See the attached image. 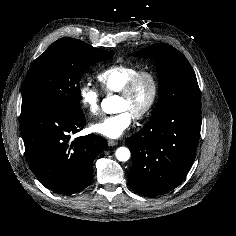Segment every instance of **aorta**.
<instances>
[{
  "label": "aorta",
  "mask_w": 236,
  "mask_h": 236,
  "mask_svg": "<svg viewBox=\"0 0 236 236\" xmlns=\"http://www.w3.org/2000/svg\"><path fill=\"white\" fill-rule=\"evenodd\" d=\"M119 98L117 96H110L107 99L103 100L102 102V109L106 112V113H116V106L115 103L117 102ZM116 158L119 161L125 162L127 160H129L130 158V150L126 147H119L116 150Z\"/></svg>",
  "instance_id": "obj_1"
}]
</instances>
